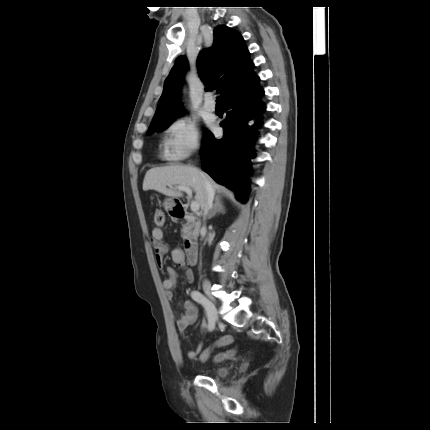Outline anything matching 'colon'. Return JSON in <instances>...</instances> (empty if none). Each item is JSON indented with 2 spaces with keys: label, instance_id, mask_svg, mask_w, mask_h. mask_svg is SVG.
Instances as JSON below:
<instances>
[{
  "label": "colon",
  "instance_id": "colon-1",
  "mask_svg": "<svg viewBox=\"0 0 430 430\" xmlns=\"http://www.w3.org/2000/svg\"><path fill=\"white\" fill-rule=\"evenodd\" d=\"M164 220H165L164 213L161 210H157L154 213L155 224L158 226H161V225H163ZM232 342H233V336H231V335H225V336L221 337L218 341H216L214 343V345L212 347H208L202 352V354L200 355V360L202 362H206L209 359V356H210V353H211L213 347L229 345ZM233 354H234L233 350L219 353V354L214 356L213 361L215 363H219L221 361H224L226 359L231 358L233 356Z\"/></svg>",
  "mask_w": 430,
  "mask_h": 430
}]
</instances>
